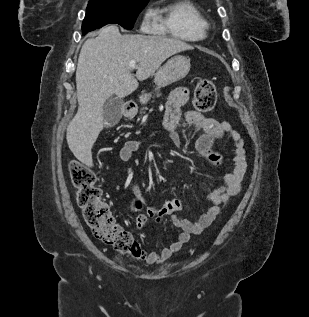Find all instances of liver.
<instances>
[{
    "label": "liver",
    "mask_w": 309,
    "mask_h": 317,
    "mask_svg": "<svg viewBox=\"0 0 309 317\" xmlns=\"http://www.w3.org/2000/svg\"><path fill=\"white\" fill-rule=\"evenodd\" d=\"M193 49L187 43L164 36L122 35L115 25L103 28L82 46L76 69L78 111L67 127L69 149L91 167L92 147L104 126L103 106L115 94L130 95L172 55ZM138 63L136 78L129 67ZM138 80V81H137Z\"/></svg>",
    "instance_id": "1"
}]
</instances>
